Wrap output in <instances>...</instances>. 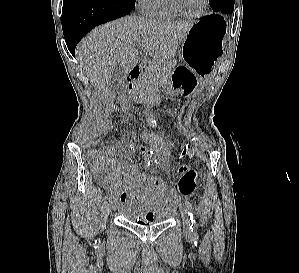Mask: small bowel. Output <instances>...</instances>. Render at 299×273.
Wrapping results in <instances>:
<instances>
[{
  "mask_svg": "<svg viewBox=\"0 0 299 273\" xmlns=\"http://www.w3.org/2000/svg\"><path fill=\"white\" fill-rule=\"evenodd\" d=\"M134 137V134L127 133L125 134L126 144L122 149L104 152L107 174L100 182L119 196L126 210L136 211L143 218L148 219L156 209L175 208L180 197L175 190L168 189L167 184L160 177L142 174L136 164L119 163L118 154L128 155L134 145ZM140 151L146 157L147 165L151 169L165 168L174 157L172 148H142ZM186 171L188 167L184 164L176 168V174Z\"/></svg>",
  "mask_w": 299,
  "mask_h": 273,
  "instance_id": "c3829d8e",
  "label": "small bowel"
}]
</instances>
